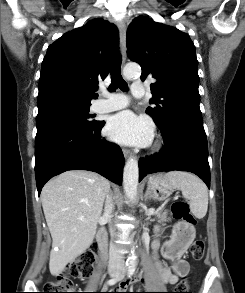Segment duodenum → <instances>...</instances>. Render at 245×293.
Masks as SVG:
<instances>
[{"instance_id":"obj_1","label":"duodenum","mask_w":245,"mask_h":293,"mask_svg":"<svg viewBox=\"0 0 245 293\" xmlns=\"http://www.w3.org/2000/svg\"><path fill=\"white\" fill-rule=\"evenodd\" d=\"M97 244L99 247V252L102 258L106 257V241H107V231L100 230L96 237Z\"/></svg>"}]
</instances>
